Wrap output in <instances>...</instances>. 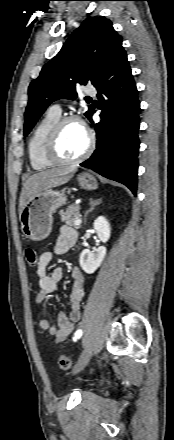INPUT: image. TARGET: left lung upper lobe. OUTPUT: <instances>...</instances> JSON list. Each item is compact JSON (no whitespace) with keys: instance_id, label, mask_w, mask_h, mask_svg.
<instances>
[{"instance_id":"obj_1","label":"left lung upper lobe","mask_w":174,"mask_h":440,"mask_svg":"<svg viewBox=\"0 0 174 440\" xmlns=\"http://www.w3.org/2000/svg\"><path fill=\"white\" fill-rule=\"evenodd\" d=\"M122 50V38L109 19L100 16L84 20L60 52L44 65L39 77L31 82L24 135L31 131L51 102L61 98L75 99L78 84L90 82L96 86ZM91 110L90 106L86 117Z\"/></svg>"}]
</instances>
